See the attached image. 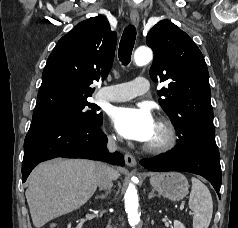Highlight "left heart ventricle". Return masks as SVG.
I'll return each instance as SVG.
<instances>
[{"instance_id": "b2bd125f", "label": "left heart ventricle", "mask_w": 238, "mask_h": 228, "mask_svg": "<svg viewBox=\"0 0 238 228\" xmlns=\"http://www.w3.org/2000/svg\"><path fill=\"white\" fill-rule=\"evenodd\" d=\"M161 139H162V134H161V132L159 131V129L157 128V126H156V129H155V131H154L153 136L151 137V139H150L147 143H149V144H155V143L160 142Z\"/></svg>"}]
</instances>
